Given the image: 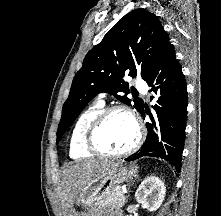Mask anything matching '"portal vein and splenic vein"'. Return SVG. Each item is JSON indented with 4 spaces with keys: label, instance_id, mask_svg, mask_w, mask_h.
Here are the masks:
<instances>
[{
    "label": "portal vein and splenic vein",
    "instance_id": "obj_1",
    "mask_svg": "<svg viewBox=\"0 0 221 216\" xmlns=\"http://www.w3.org/2000/svg\"><path fill=\"white\" fill-rule=\"evenodd\" d=\"M125 193V191H122V194H124Z\"/></svg>",
    "mask_w": 221,
    "mask_h": 216
}]
</instances>
